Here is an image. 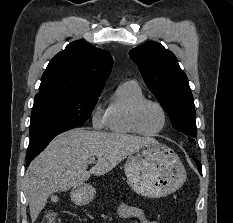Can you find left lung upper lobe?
<instances>
[{
  "mask_svg": "<svg viewBox=\"0 0 233 223\" xmlns=\"http://www.w3.org/2000/svg\"><path fill=\"white\" fill-rule=\"evenodd\" d=\"M138 65L150 91L160 100L169 114L173 128L197 136L196 112L188 78L181 70L175 55L156 42L146 43L129 52Z\"/></svg>",
  "mask_w": 233,
  "mask_h": 223,
  "instance_id": "left-lung-upper-lobe-1",
  "label": "left lung upper lobe"
}]
</instances>
